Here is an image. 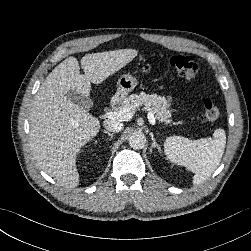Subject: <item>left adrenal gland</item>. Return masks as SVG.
Segmentation results:
<instances>
[{"instance_id": "obj_1", "label": "left adrenal gland", "mask_w": 251, "mask_h": 251, "mask_svg": "<svg viewBox=\"0 0 251 251\" xmlns=\"http://www.w3.org/2000/svg\"><path fill=\"white\" fill-rule=\"evenodd\" d=\"M150 136H151V140H152V145H151V150H150V151H152V149L155 148V147H158V149L160 150V147H159V145L157 144V142H156V140H155V138H154L153 133H150Z\"/></svg>"}]
</instances>
